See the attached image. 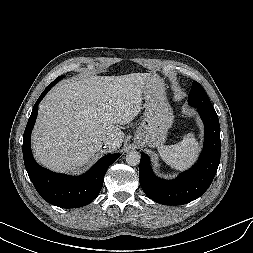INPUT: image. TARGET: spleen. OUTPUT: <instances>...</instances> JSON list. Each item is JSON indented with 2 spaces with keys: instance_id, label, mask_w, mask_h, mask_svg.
Segmentation results:
<instances>
[{
  "instance_id": "1",
  "label": "spleen",
  "mask_w": 253,
  "mask_h": 253,
  "mask_svg": "<svg viewBox=\"0 0 253 253\" xmlns=\"http://www.w3.org/2000/svg\"><path fill=\"white\" fill-rule=\"evenodd\" d=\"M158 152L167 165L183 171L195 162L199 146L194 135L189 133L177 144L160 146Z\"/></svg>"
}]
</instances>
